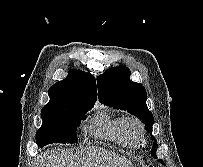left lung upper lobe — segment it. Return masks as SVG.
<instances>
[{
	"mask_svg": "<svg viewBox=\"0 0 203 167\" xmlns=\"http://www.w3.org/2000/svg\"><path fill=\"white\" fill-rule=\"evenodd\" d=\"M130 70L124 66L107 69L97 78L99 101L115 109L127 110L145 123L146 131L152 133L154 117L146 105L147 93L140 84L130 80ZM154 140V136H152ZM157 143L153 144L151 156L156 158ZM160 162L163 163L162 160ZM164 164V163H163Z\"/></svg>",
	"mask_w": 203,
	"mask_h": 167,
	"instance_id": "1",
	"label": "left lung upper lobe"
}]
</instances>
